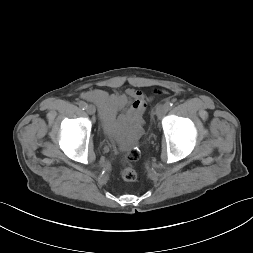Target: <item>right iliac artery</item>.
<instances>
[{
    "label": "right iliac artery",
    "mask_w": 253,
    "mask_h": 253,
    "mask_svg": "<svg viewBox=\"0 0 253 253\" xmlns=\"http://www.w3.org/2000/svg\"><path fill=\"white\" fill-rule=\"evenodd\" d=\"M79 106H80V108H82L84 110L87 107V104L85 102L81 101L79 103Z\"/></svg>",
    "instance_id": "right-iliac-artery-1"
}]
</instances>
